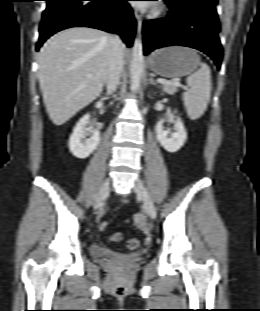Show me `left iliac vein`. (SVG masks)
Listing matches in <instances>:
<instances>
[{
    "label": "left iliac vein",
    "mask_w": 260,
    "mask_h": 311,
    "mask_svg": "<svg viewBox=\"0 0 260 311\" xmlns=\"http://www.w3.org/2000/svg\"><path fill=\"white\" fill-rule=\"evenodd\" d=\"M134 190H135L136 194L143 201L146 214L150 218L155 219L156 213H157L156 208L154 206L152 199L149 196V193H148L146 187L144 186V184L140 178H136V180L134 182Z\"/></svg>",
    "instance_id": "obj_1"
}]
</instances>
